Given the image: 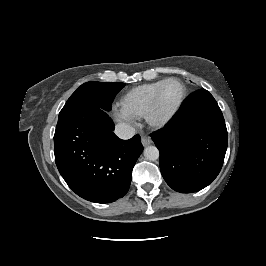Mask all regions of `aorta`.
I'll return each mask as SVG.
<instances>
[{
    "label": "aorta",
    "instance_id": "aorta-1",
    "mask_svg": "<svg viewBox=\"0 0 266 266\" xmlns=\"http://www.w3.org/2000/svg\"><path fill=\"white\" fill-rule=\"evenodd\" d=\"M144 157L147 160L155 161L159 158V150L155 146H148L144 149Z\"/></svg>",
    "mask_w": 266,
    "mask_h": 266
}]
</instances>
